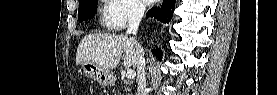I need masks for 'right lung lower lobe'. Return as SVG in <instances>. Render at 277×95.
<instances>
[{"mask_svg":"<svg viewBox=\"0 0 277 95\" xmlns=\"http://www.w3.org/2000/svg\"><path fill=\"white\" fill-rule=\"evenodd\" d=\"M174 6H175L174 0H163V3L160 7L158 8L155 7L148 11L147 17H154L163 23H168L172 18ZM152 53H154L155 56L161 60L162 58L161 50L156 48L155 50L152 51Z\"/></svg>","mask_w":277,"mask_h":95,"instance_id":"obj_1","label":"right lung lower lobe"}]
</instances>
